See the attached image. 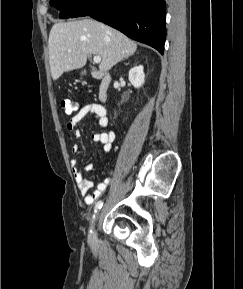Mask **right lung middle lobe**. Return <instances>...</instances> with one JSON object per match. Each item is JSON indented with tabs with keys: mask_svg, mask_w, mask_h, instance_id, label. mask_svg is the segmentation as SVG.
Returning <instances> with one entry per match:
<instances>
[{
	"mask_svg": "<svg viewBox=\"0 0 243 289\" xmlns=\"http://www.w3.org/2000/svg\"><path fill=\"white\" fill-rule=\"evenodd\" d=\"M89 0H50V4L60 10V18H69Z\"/></svg>",
	"mask_w": 243,
	"mask_h": 289,
	"instance_id": "obj_1",
	"label": "right lung middle lobe"
}]
</instances>
